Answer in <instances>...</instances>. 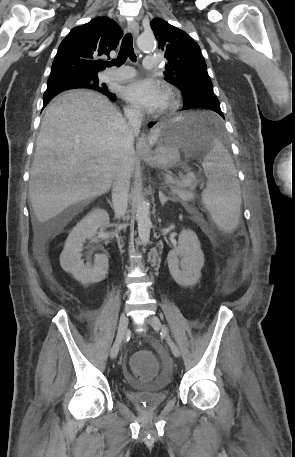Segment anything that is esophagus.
<instances>
[{
    "label": "esophagus",
    "mask_w": 295,
    "mask_h": 457,
    "mask_svg": "<svg viewBox=\"0 0 295 457\" xmlns=\"http://www.w3.org/2000/svg\"><path fill=\"white\" fill-rule=\"evenodd\" d=\"M127 31L132 33L134 37H137L139 34V25L136 21H131L128 23ZM137 149L139 152L146 153L148 152V145L146 141V136L142 135L137 143Z\"/></svg>",
    "instance_id": "34e87169"
}]
</instances>
